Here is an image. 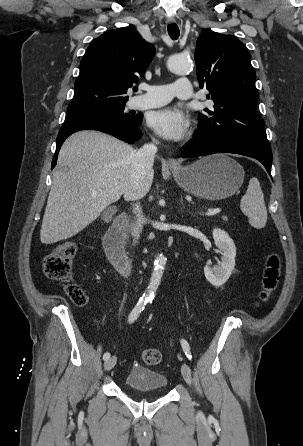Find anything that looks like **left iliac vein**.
<instances>
[{"instance_id":"left-iliac-vein-1","label":"left iliac vein","mask_w":303,"mask_h":446,"mask_svg":"<svg viewBox=\"0 0 303 446\" xmlns=\"http://www.w3.org/2000/svg\"><path fill=\"white\" fill-rule=\"evenodd\" d=\"M181 373L184 378V380L187 382V384H192V377H191V369L188 366V364L183 363L181 366Z\"/></svg>"}]
</instances>
